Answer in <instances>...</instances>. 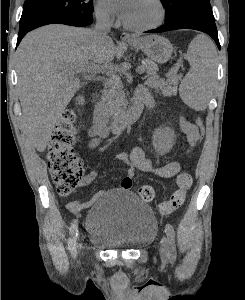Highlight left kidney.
Listing matches in <instances>:
<instances>
[{
	"label": "left kidney",
	"mask_w": 245,
	"mask_h": 300,
	"mask_svg": "<svg viewBox=\"0 0 245 300\" xmlns=\"http://www.w3.org/2000/svg\"><path fill=\"white\" fill-rule=\"evenodd\" d=\"M154 141L158 151L167 152L174 144V133L169 128L159 129L154 134Z\"/></svg>",
	"instance_id": "left-kidney-1"
}]
</instances>
